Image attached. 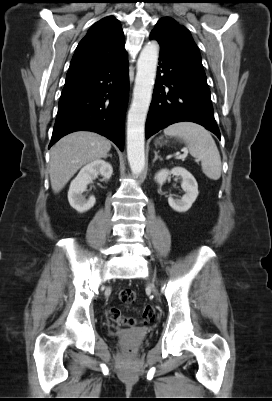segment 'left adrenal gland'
<instances>
[{
	"label": "left adrenal gland",
	"instance_id": "a2214340",
	"mask_svg": "<svg viewBox=\"0 0 272 401\" xmlns=\"http://www.w3.org/2000/svg\"><path fill=\"white\" fill-rule=\"evenodd\" d=\"M154 154H155V157H154V159H153V163H155V161H156L157 159H159L160 161H162V158L158 155V152H157V151H154Z\"/></svg>",
	"mask_w": 272,
	"mask_h": 401
}]
</instances>
